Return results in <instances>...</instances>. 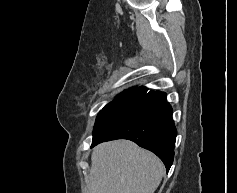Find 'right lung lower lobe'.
Listing matches in <instances>:
<instances>
[{
	"mask_svg": "<svg viewBox=\"0 0 237 193\" xmlns=\"http://www.w3.org/2000/svg\"><path fill=\"white\" fill-rule=\"evenodd\" d=\"M176 135L166 94L139 87L98 114L91 147L115 139L132 140L155 153L168 172L173 163Z\"/></svg>",
	"mask_w": 237,
	"mask_h": 193,
	"instance_id": "1",
	"label": "right lung lower lobe"
}]
</instances>
